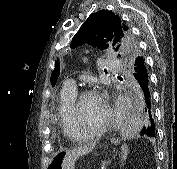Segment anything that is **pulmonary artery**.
Segmentation results:
<instances>
[{"instance_id": "e3ab8cb5", "label": "pulmonary artery", "mask_w": 177, "mask_h": 169, "mask_svg": "<svg viewBox=\"0 0 177 169\" xmlns=\"http://www.w3.org/2000/svg\"><path fill=\"white\" fill-rule=\"evenodd\" d=\"M105 65L108 66L109 68L113 67L115 64L112 61L106 60ZM65 86L69 89L77 90L76 86V80L75 79H68L65 82Z\"/></svg>"}]
</instances>
